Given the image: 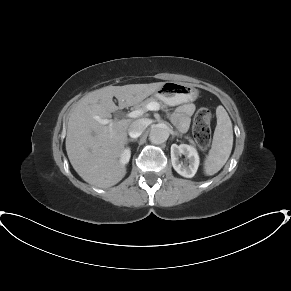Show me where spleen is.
<instances>
[{"label":"spleen","instance_id":"1","mask_svg":"<svg viewBox=\"0 0 291 291\" xmlns=\"http://www.w3.org/2000/svg\"><path fill=\"white\" fill-rule=\"evenodd\" d=\"M216 117L212 146L204 163L206 175H214L225 165L233 146L232 122L223 106L217 107Z\"/></svg>","mask_w":291,"mask_h":291}]
</instances>
